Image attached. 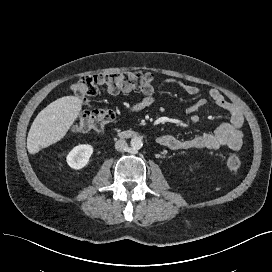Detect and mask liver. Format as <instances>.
Listing matches in <instances>:
<instances>
[{
    "instance_id": "liver-1",
    "label": "liver",
    "mask_w": 272,
    "mask_h": 272,
    "mask_svg": "<svg viewBox=\"0 0 272 272\" xmlns=\"http://www.w3.org/2000/svg\"><path fill=\"white\" fill-rule=\"evenodd\" d=\"M82 108V100L76 96L59 98L45 107L33 121L27 137V149L30 154L39 152L60 141Z\"/></svg>"
}]
</instances>
